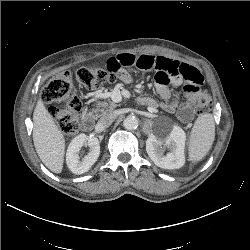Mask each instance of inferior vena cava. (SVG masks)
<instances>
[{
	"instance_id": "obj_1",
	"label": "inferior vena cava",
	"mask_w": 250,
	"mask_h": 250,
	"mask_svg": "<svg viewBox=\"0 0 250 250\" xmlns=\"http://www.w3.org/2000/svg\"><path fill=\"white\" fill-rule=\"evenodd\" d=\"M116 118L115 112H105L99 119L97 126L101 129L109 127Z\"/></svg>"
}]
</instances>
